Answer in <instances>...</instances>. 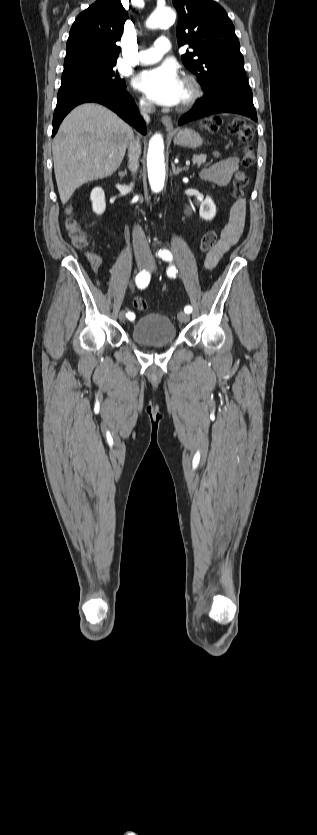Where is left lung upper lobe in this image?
<instances>
[{"label": "left lung upper lobe", "instance_id": "left-lung-upper-lobe-1", "mask_svg": "<svg viewBox=\"0 0 317 835\" xmlns=\"http://www.w3.org/2000/svg\"><path fill=\"white\" fill-rule=\"evenodd\" d=\"M178 12V45L188 44L182 60L194 73L205 95L218 92L228 81L246 78L244 59L235 28L226 11L211 0H173Z\"/></svg>", "mask_w": 317, "mask_h": 835}]
</instances>
